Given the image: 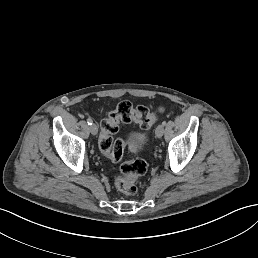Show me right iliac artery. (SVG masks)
Instances as JSON below:
<instances>
[{"instance_id":"obj_1","label":"right iliac artery","mask_w":258,"mask_h":258,"mask_svg":"<svg viewBox=\"0 0 258 258\" xmlns=\"http://www.w3.org/2000/svg\"><path fill=\"white\" fill-rule=\"evenodd\" d=\"M87 123H88V125H92V124H93L92 119H91V118H88V119H87Z\"/></svg>"}]
</instances>
